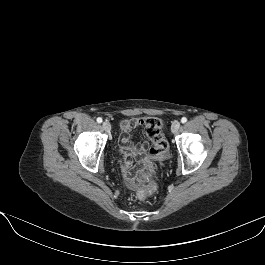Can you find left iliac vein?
<instances>
[{
	"mask_svg": "<svg viewBox=\"0 0 265 265\" xmlns=\"http://www.w3.org/2000/svg\"><path fill=\"white\" fill-rule=\"evenodd\" d=\"M180 128V122L179 121H174L172 126H171V132L173 134L177 133V131L179 130Z\"/></svg>",
	"mask_w": 265,
	"mask_h": 265,
	"instance_id": "left-iliac-vein-1",
	"label": "left iliac vein"
}]
</instances>
